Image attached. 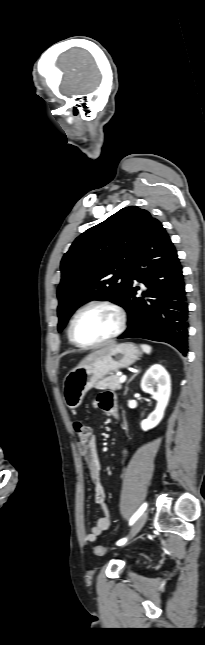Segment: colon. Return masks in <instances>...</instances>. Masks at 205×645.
<instances>
[{"label": "colon", "mask_w": 205, "mask_h": 645, "mask_svg": "<svg viewBox=\"0 0 205 645\" xmlns=\"http://www.w3.org/2000/svg\"><path fill=\"white\" fill-rule=\"evenodd\" d=\"M73 429L82 443H87L91 439V429L83 421L76 420L73 422ZM109 550L107 546H94L93 553L98 556L104 555Z\"/></svg>", "instance_id": "colon-1"}]
</instances>
